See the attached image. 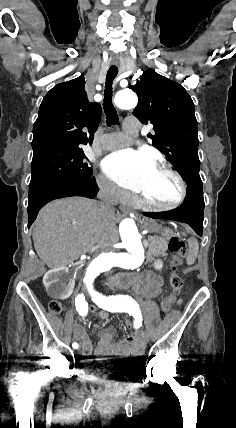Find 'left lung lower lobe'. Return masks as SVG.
I'll return each mask as SVG.
<instances>
[{"mask_svg":"<svg viewBox=\"0 0 236 428\" xmlns=\"http://www.w3.org/2000/svg\"><path fill=\"white\" fill-rule=\"evenodd\" d=\"M153 219H168L187 223L198 235L203 233L204 198L202 186H190L184 203L177 209L165 212H143Z\"/></svg>","mask_w":236,"mask_h":428,"instance_id":"0a47b994","label":"left lung lower lobe"}]
</instances>
